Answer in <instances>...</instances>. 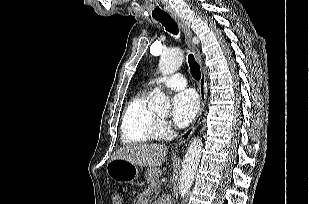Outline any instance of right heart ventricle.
<instances>
[{"label":"right heart ventricle","mask_w":309,"mask_h":204,"mask_svg":"<svg viewBox=\"0 0 309 204\" xmlns=\"http://www.w3.org/2000/svg\"><path fill=\"white\" fill-rule=\"evenodd\" d=\"M159 119L147 106V96L139 94L127 105L121 123V139L124 143H145L158 135Z\"/></svg>","instance_id":"right-heart-ventricle-1"}]
</instances>
